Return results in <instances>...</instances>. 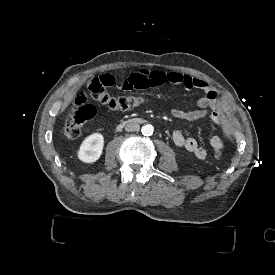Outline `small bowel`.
<instances>
[{
    "mask_svg": "<svg viewBox=\"0 0 275 275\" xmlns=\"http://www.w3.org/2000/svg\"><path fill=\"white\" fill-rule=\"evenodd\" d=\"M105 85L115 86L117 81L112 74L102 76ZM183 85L187 89H197L204 95L197 101V108L192 110L172 109V116L186 121H194L209 115L216 124H222V106L218 92L206 81L194 79L177 71L145 70L140 69L128 74L121 82L120 88L124 90L146 89L161 85ZM172 141L177 147L186 149L196 158L205 160L208 156L207 150L202 147L195 138L186 137L180 131H175ZM210 146L217 152L225 147V140L217 135L209 139Z\"/></svg>",
    "mask_w": 275,
    "mask_h": 275,
    "instance_id": "1",
    "label": "small bowel"
}]
</instances>
